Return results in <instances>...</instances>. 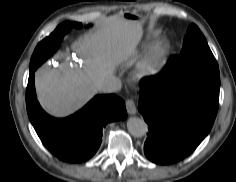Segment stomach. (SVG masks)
Listing matches in <instances>:
<instances>
[{
	"instance_id": "1",
	"label": "stomach",
	"mask_w": 236,
	"mask_h": 182,
	"mask_svg": "<svg viewBox=\"0 0 236 182\" xmlns=\"http://www.w3.org/2000/svg\"><path fill=\"white\" fill-rule=\"evenodd\" d=\"M123 19L130 22V23H138L140 25H142L144 23V19L142 17L137 16V15H133L130 13H126L123 16Z\"/></svg>"
}]
</instances>
